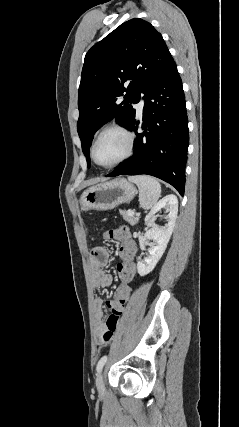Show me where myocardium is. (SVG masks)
<instances>
[{
  "label": "myocardium",
  "mask_w": 239,
  "mask_h": 427,
  "mask_svg": "<svg viewBox=\"0 0 239 427\" xmlns=\"http://www.w3.org/2000/svg\"><path fill=\"white\" fill-rule=\"evenodd\" d=\"M110 131H117L122 133L126 139H127V149L126 152L124 153V155L118 159L117 161L111 163V164H107V165H103L97 162L96 158H95V147L99 141V139L107 132ZM134 147H135V135L134 133L128 129L126 126L122 125V124H118V123H114L111 125H108L106 127H104L95 137L91 149H90V156L92 161L99 167L101 168H105V169H111L114 168L120 164H122L123 162H125L126 160H128L133 152H134Z\"/></svg>",
  "instance_id": "myocardium-1"
}]
</instances>
